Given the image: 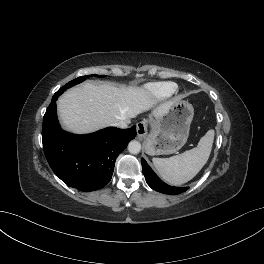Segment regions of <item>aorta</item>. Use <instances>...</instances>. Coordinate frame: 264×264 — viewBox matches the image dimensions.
<instances>
[{
	"label": "aorta",
	"mask_w": 264,
	"mask_h": 264,
	"mask_svg": "<svg viewBox=\"0 0 264 264\" xmlns=\"http://www.w3.org/2000/svg\"><path fill=\"white\" fill-rule=\"evenodd\" d=\"M141 150V144L140 142L133 140L128 144V151L131 154H138Z\"/></svg>",
	"instance_id": "obj_1"
}]
</instances>
